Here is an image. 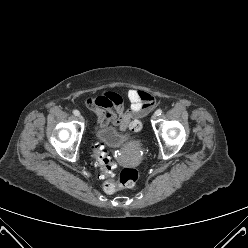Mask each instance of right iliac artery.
<instances>
[{"label": "right iliac artery", "mask_w": 248, "mask_h": 248, "mask_svg": "<svg viewBox=\"0 0 248 248\" xmlns=\"http://www.w3.org/2000/svg\"><path fill=\"white\" fill-rule=\"evenodd\" d=\"M73 114H74L75 116L80 115V113H79V111H78V110H74V111H73Z\"/></svg>", "instance_id": "1"}]
</instances>
